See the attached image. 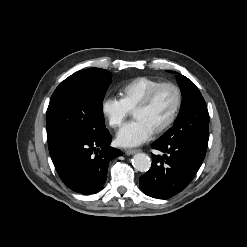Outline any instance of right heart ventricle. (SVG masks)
Here are the masks:
<instances>
[{
	"mask_svg": "<svg viewBox=\"0 0 247 247\" xmlns=\"http://www.w3.org/2000/svg\"><path fill=\"white\" fill-rule=\"evenodd\" d=\"M159 83L161 81L156 78L147 76L136 77L120 88L121 100L129 111L134 110L145 95Z\"/></svg>",
	"mask_w": 247,
	"mask_h": 247,
	"instance_id": "1",
	"label": "right heart ventricle"
}]
</instances>
